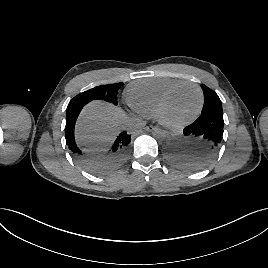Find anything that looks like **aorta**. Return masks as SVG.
<instances>
[{
    "mask_svg": "<svg viewBox=\"0 0 268 268\" xmlns=\"http://www.w3.org/2000/svg\"><path fill=\"white\" fill-rule=\"evenodd\" d=\"M153 137L156 138L157 140H162L167 137V133L164 130L157 129L154 131Z\"/></svg>",
    "mask_w": 268,
    "mask_h": 268,
    "instance_id": "762f6f07",
    "label": "aorta"
}]
</instances>
